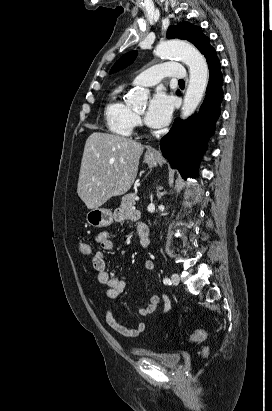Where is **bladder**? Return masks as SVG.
I'll return each instance as SVG.
<instances>
[{"instance_id": "1", "label": "bladder", "mask_w": 272, "mask_h": 411, "mask_svg": "<svg viewBox=\"0 0 272 411\" xmlns=\"http://www.w3.org/2000/svg\"><path fill=\"white\" fill-rule=\"evenodd\" d=\"M142 357L151 363L168 368H176L182 361V355L180 353L145 352L142 354Z\"/></svg>"}]
</instances>
